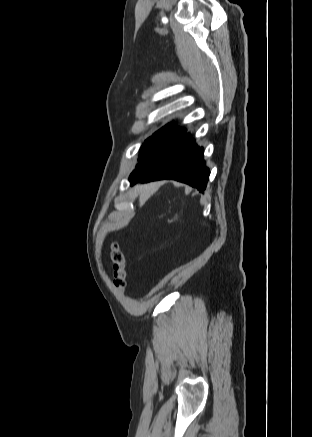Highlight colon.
Returning a JSON list of instances; mask_svg holds the SVG:
<instances>
[{"mask_svg": "<svg viewBox=\"0 0 312 437\" xmlns=\"http://www.w3.org/2000/svg\"><path fill=\"white\" fill-rule=\"evenodd\" d=\"M110 258L113 264V277L115 286L119 289H124L126 284L125 259L124 254L119 246L114 243L111 246Z\"/></svg>", "mask_w": 312, "mask_h": 437, "instance_id": "obj_1", "label": "colon"}]
</instances>
